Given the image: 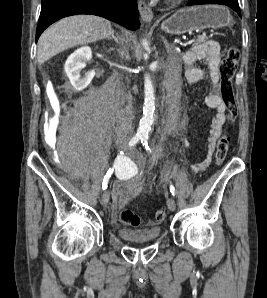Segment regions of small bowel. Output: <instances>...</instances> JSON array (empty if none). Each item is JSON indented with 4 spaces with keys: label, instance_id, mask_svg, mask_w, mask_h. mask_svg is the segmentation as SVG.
<instances>
[{
    "label": "small bowel",
    "instance_id": "1",
    "mask_svg": "<svg viewBox=\"0 0 267 298\" xmlns=\"http://www.w3.org/2000/svg\"><path fill=\"white\" fill-rule=\"evenodd\" d=\"M203 59L207 62L208 75L212 85V91L206 97L205 103L208 107L212 108L215 113L212 117L209 128L206 157L194 167L198 170H204L209 165L215 149V142L222 132L223 124L225 123L227 117H229L227 107L218 91L221 53L219 45L216 42L208 41L199 44L192 50L185 53L183 58L185 64V78L188 83H195L204 77L205 71L195 66L197 61ZM170 113L172 116L178 115V106L175 100L171 106ZM142 190L143 186L135 179L128 182L124 187H116L114 191V198L117 201L118 207L124 208L129 200L138 196Z\"/></svg>",
    "mask_w": 267,
    "mask_h": 298
}]
</instances>
